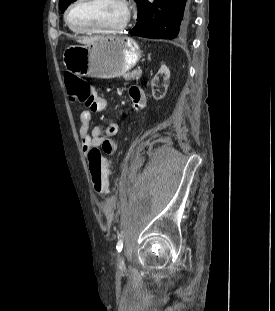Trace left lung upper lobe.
Listing matches in <instances>:
<instances>
[{"mask_svg": "<svg viewBox=\"0 0 275 311\" xmlns=\"http://www.w3.org/2000/svg\"><path fill=\"white\" fill-rule=\"evenodd\" d=\"M74 1L76 0H60L59 7H60L61 12L63 13L66 10V8ZM143 1L144 0H135V2L138 5V11L142 6Z\"/></svg>", "mask_w": 275, "mask_h": 311, "instance_id": "1", "label": "left lung upper lobe"}]
</instances>
